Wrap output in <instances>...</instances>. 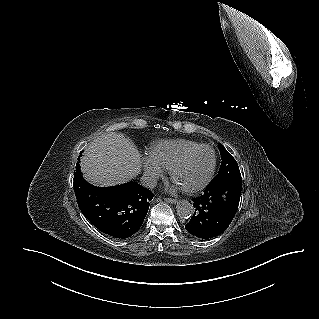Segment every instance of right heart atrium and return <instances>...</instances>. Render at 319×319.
I'll use <instances>...</instances> for the list:
<instances>
[{
	"mask_svg": "<svg viewBox=\"0 0 319 319\" xmlns=\"http://www.w3.org/2000/svg\"><path fill=\"white\" fill-rule=\"evenodd\" d=\"M142 165L149 184L155 183L164 174V169L154 162L149 155L143 158Z\"/></svg>",
	"mask_w": 319,
	"mask_h": 319,
	"instance_id": "right-heart-atrium-1",
	"label": "right heart atrium"
}]
</instances>
